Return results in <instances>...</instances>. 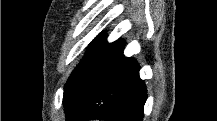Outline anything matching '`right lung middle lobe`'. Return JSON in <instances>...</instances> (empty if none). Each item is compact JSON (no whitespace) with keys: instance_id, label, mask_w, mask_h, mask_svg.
<instances>
[{"instance_id":"obj_1","label":"right lung middle lobe","mask_w":217,"mask_h":121,"mask_svg":"<svg viewBox=\"0 0 217 121\" xmlns=\"http://www.w3.org/2000/svg\"><path fill=\"white\" fill-rule=\"evenodd\" d=\"M109 46L110 44H107L105 36L101 35L98 39H95L89 51L78 64L76 69L72 72L64 87V90L67 91L70 87H72L92 67V65Z\"/></svg>"}]
</instances>
